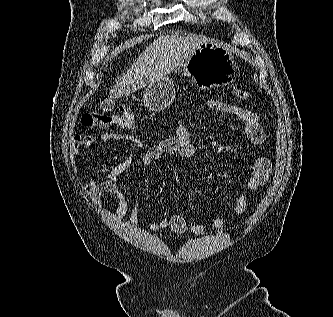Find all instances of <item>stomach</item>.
<instances>
[{
  "label": "stomach",
  "instance_id": "stomach-1",
  "mask_svg": "<svg viewBox=\"0 0 333 317\" xmlns=\"http://www.w3.org/2000/svg\"><path fill=\"white\" fill-rule=\"evenodd\" d=\"M236 68L231 51L209 40L198 46L177 71L190 77L198 88L206 90L229 83ZM175 94L174 83L167 77L159 78L148 84L143 103L150 111L159 112L171 104Z\"/></svg>",
  "mask_w": 333,
  "mask_h": 317
}]
</instances>
